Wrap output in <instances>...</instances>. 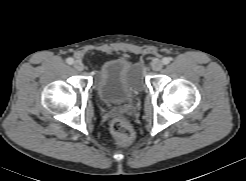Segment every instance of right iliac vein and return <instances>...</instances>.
I'll return each instance as SVG.
<instances>
[{"instance_id": "right-iliac-vein-1", "label": "right iliac vein", "mask_w": 246, "mask_h": 181, "mask_svg": "<svg viewBox=\"0 0 246 181\" xmlns=\"http://www.w3.org/2000/svg\"><path fill=\"white\" fill-rule=\"evenodd\" d=\"M73 67L77 70V71H82L84 69V65L81 61L77 60L73 63Z\"/></svg>"}]
</instances>
